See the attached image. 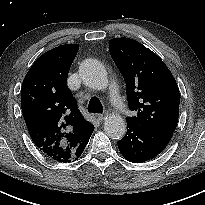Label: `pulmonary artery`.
<instances>
[{
  "label": "pulmonary artery",
  "mask_w": 205,
  "mask_h": 205,
  "mask_svg": "<svg viewBox=\"0 0 205 205\" xmlns=\"http://www.w3.org/2000/svg\"><path fill=\"white\" fill-rule=\"evenodd\" d=\"M111 102L120 110L122 117H126L130 114V110L127 105L121 100L117 90L115 89L114 92L111 93Z\"/></svg>",
  "instance_id": "pulmonary-artery-1"
}]
</instances>
